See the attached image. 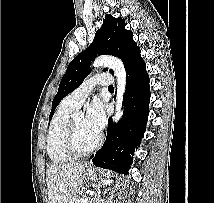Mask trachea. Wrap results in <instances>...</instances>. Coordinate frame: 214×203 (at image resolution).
Masks as SVG:
<instances>
[{
  "instance_id": "trachea-1",
  "label": "trachea",
  "mask_w": 214,
  "mask_h": 203,
  "mask_svg": "<svg viewBox=\"0 0 214 203\" xmlns=\"http://www.w3.org/2000/svg\"><path fill=\"white\" fill-rule=\"evenodd\" d=\"M108 88L113 89V86H112V85H110Z\"/></svg>"
}]
</instances>
